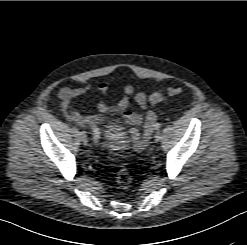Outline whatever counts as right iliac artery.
<instances>
[{"label":"right iliac artery","mask_w":247,"mask_h":245,"mask_svg":"<svg viewBox=\"0 0 247 245\" xmlns=\"http://www.w3.org/2000/svg\"><path fill=\"white\" fill-rule=\"evenodd\" d=\"M92 130H93V136H92V141L93 144H97L100 138V132L99 129L96 125L91 124Z\"/></svg>","instance_id":"82829eb1"}]
</instances>
